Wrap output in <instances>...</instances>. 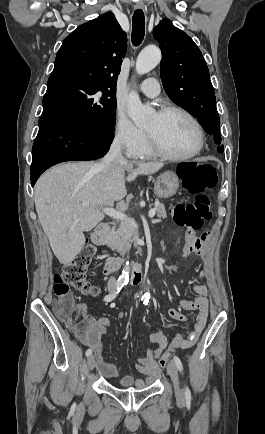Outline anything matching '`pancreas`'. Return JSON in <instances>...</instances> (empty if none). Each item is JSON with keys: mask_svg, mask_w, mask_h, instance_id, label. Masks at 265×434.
<instances>
[{"mask_svg": "<svg viewBox=\"0 0 265 434\" xmlns=\"http://www.w3.org/2000/svg\"><path fill=\"white\" fill-rule=\"evenodd\" d=\"M157 218H166V210L164 204H158L156 208ZM136 232L132 226L129 224H117V226H112L111 232L108 236H105V246L115 250V252H120V248H131L132 242H135L133 236Z\"/></svg>", "mask_w": 265, "mask_h": 434, "instance_id": "pancreas-1", "label": "pancreas"}]
</instances>
